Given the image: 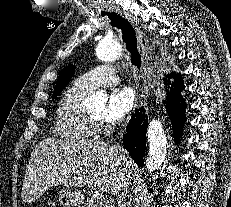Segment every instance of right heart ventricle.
I'll list each match as a JSON object with an SVG mask.
<instances>
[{
  "label": "right heart ventricle",
  "mask_w": 231,
  "mask_h": 207,
  "mask_svg": "<svg viewBox=\"0 0 231 207\" xmlns=\"http://www.w3.org/2000/svg\"><path fill=\"white\" fill-rule=\"evenodd\" d=\"M88 94L73 84L62 96L57 108L54 134L66 141L82 142L93 138L98 127L86 115L82 101Z\"/></svg>",
  "instance_id": "obj_1"
}]
</instances>
